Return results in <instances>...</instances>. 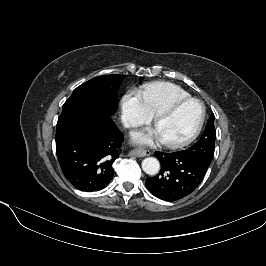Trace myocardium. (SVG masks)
I'll use <instances>...</instances> for the list:
<instances>
[{
  "label": "myocardium",
  "instance_id": "1",
  "mask_svg": "<svg viewBox=\"0 0 266 266\" xmlns=\"http://www.w3.org/2000/svg\"><path fill=\"white\" fill-rule=\"evenodd\" d=\"M189 103H197L201 106L202 114H201V118L198 122L197 127L189 136H187L184 139H181L178 141H162V143L165 146L172 148V149L184 147V146L190 144L191 142H193L198 137V135L200 134V132L203 128V125L205 123V119H206V107L201 100L196 99V98H191V97L187 98V99H182V100L176 101L173 104H171L170 106H168L165 109L158 112L154 117V125L156 127L160 123V121L173 115L177 110H179L181 107H183Z\"/></svg>",
  "mask_w": 266,
  "mask_h": 266
}]
</instances>
